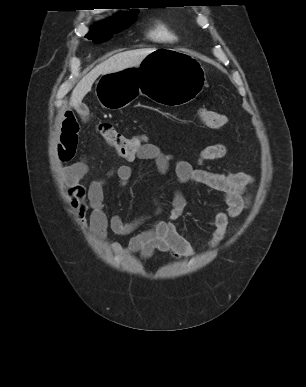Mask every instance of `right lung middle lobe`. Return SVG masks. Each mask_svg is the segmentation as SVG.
Masks as SVG:
<instances>
[{"label": "right lung middle lobe", "instance_id": "dd1d6c3e", "mask_svg": "<svg viewBox=\"0 0 306 387\" xmlns=\"http://www.w3.org/2000/svg\"><path fill=\"white\" fill-rule=\"evenodd\" d=\"M137 19L136 13L133 14H119L113 19L95 25L91 28L86 38L92 40L94 43H102L109 40L114 33H118L127 28Z\"/></svg>", "mask_w": 306, "mask_h": 387}]
</instances>
